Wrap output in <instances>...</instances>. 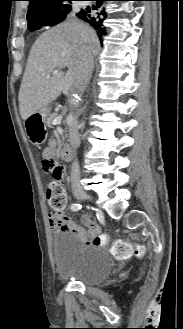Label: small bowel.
Masks as SVG:
<instances>
[{
	"label": "small bowel",
	"instance_id": "small-bowel-1",
	"mask_svg": "<svg viewBox=\"0 0 183 329\" xmlns=\"http://www.w3.org/2000/svg\"><path fill=\"white\" fill-rule=\"evenodd\" d=\"M56 150V142L54 140H51L45 147L43 156L49 155L55 158ZM48 223L55 233L60 231H68L77 234L84 244H90L91 242L93 243L94 237L100 230L98 225L94 223L92 219L88 216L83 217V219L79 222V225L81 227L88 225L91 233L93 234L92 236H89L82 228L75 225L74 222L70 219V217H68L64 213L56 214L55 212H50L48 214Z\"/></svg>",
	"mask_w": 183,
	"mask_h": 329
}]
</instances>
